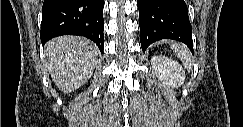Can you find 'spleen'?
Returning a JSON list of instances; mask_svg holds the SVG:
<instances>
[{"label": "spleen", "mask_w": 243, "mask_h": 127, "mask_svg": "<svg viewBox=\"0 0 243 127\" xmlns=\"http://www.w3.org/2000/svg\"><path fill=\"white\" fill-rule=\"evenodd\" d=\"M172 49L174 50L177 57L180 58L183 65L186 68L191 69L193 63H192V60L190 57V52L188 51V49L185 46L177 44V43H172Z\"/></svg>", "instance_id": "1"}]
</instances>
